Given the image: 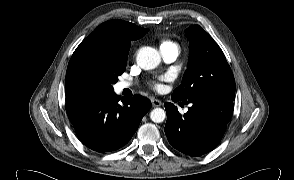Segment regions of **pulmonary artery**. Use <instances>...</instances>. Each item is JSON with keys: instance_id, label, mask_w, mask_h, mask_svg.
I'll list each match as a JSON object with an SVG mask.
<instances>
[{"instance_id": "e3ab8cb5", "label": "pulmonary artery", "mask_w": 294, "mask_h": 180, "mask_svg": "<svg viewBox=\"0 0 294 180\" xmlns=\"http://www.w3.org/2000/svg\"><path fill=\"white\" fill-rule=\"evenodd\" d=\"M161 55L163 57V60L166 63H173L178 55H179V50L177 48H169L161 51ZM130 84L128 82H122L121 87L122 88H128Z\"/></svg>"}]
</instances>
